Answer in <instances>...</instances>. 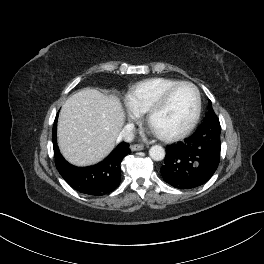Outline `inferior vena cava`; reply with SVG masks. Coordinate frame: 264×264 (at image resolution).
I'll return each instance as SVG.
<instances>
[{
    "instance_id": "inferior-vena-cava-1",
    "label": "inferior vena cava",
    "mask_w": 264,
    "mask_h": 264,
    "mask_svg": "<svg viewBox=\"0 0 264 264\" xmlns=\"http://www.w3.org/2000/svg\"><path fill=\"white\" fill-rule=\"evenodd\" d=\"M134 139V125L127 124L118 134L116 142H131Z\"/></svg>"
}]
</instances>
